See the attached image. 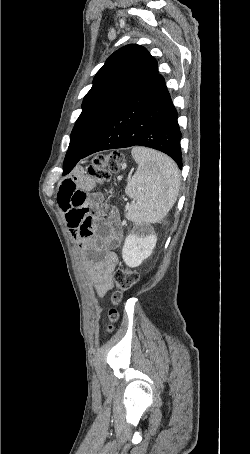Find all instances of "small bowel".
Segmentation results:
<instances>
[{
    "label": "small bowel",
    "instance_id": "c3829d8e",
    "mask_svg": "<svg viewBox=\"0 0 250 454\" xmlns=\"http://www.w3.org/2000/svg\"><path fill=\"white\" fill-rule=\"evenodd\" d=\"M94 180L84 172L62 181L57 200L65 213L70 233L79 246L84 265L99 296L113 287V275L118 264L115 252L122 241L123 229L117 213L110 220L99 217L95 211L100 198L90 194Z\"/></svg>",
    "mask_w": 250,
    "mask_h": 454
}]
</instances>
